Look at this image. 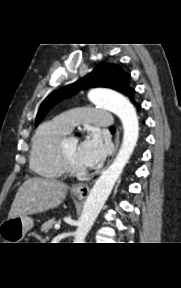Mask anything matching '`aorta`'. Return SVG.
Wrapping results in <instances>:
<instances>
[{
	"instance_id": "762f6f07",
	"label": "aorta",
	"mask_w": 181,
	"mask_h": 288,
	"mask_svg": "<svg viewBox=\"0 0 181 288\" xmlns=\"http://www.w3.org/2000/svg\"><path fill=\"white\" fill-rule=\"evenodd\" d=\"M88 98L95 105L113 112L120 118L123 140L114 161L97 179L84 203L74 243H85L87 234L129 161L139 136L138 117L135 108L126 97L116 92L93 89L89 92Z\"/></svg>"
}]
</instances>
